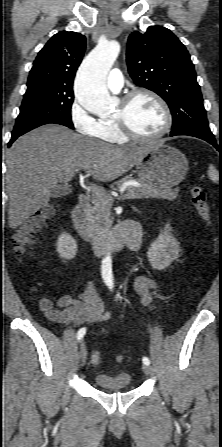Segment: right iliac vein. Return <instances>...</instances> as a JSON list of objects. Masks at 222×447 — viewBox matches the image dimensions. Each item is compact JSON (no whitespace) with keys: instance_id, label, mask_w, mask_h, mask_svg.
<instances>
[{"instance_id":"63e3f726","label":"right iliac vein","mask_w":222,"mask_h":447,"mask_svg":"<svg viewBox=\"0 0 222 447\" xmlns=\"http://www.w3.org/2000/svg\"><path fill=\"white\" fill-rule=\"evenodd\" d=\"M87 360V347L84 341H81L79 347V362L80 366H84Z\"/></svg>"}]
</instances>
